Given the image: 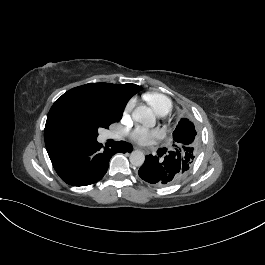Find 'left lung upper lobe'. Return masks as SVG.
Here are the masks:
<instances>
[{
    "label": "left lung upper lobe",
    "mask_w": 265,
    "mask_h": 265,
    "mask_svg": "<svg viewBox=\"0 0 265 265\" xmlns=\"http://www.w3.org/2000/svg\"><path fill=\"white\" fill-rule=\"evenodd\" d=\"M169 150L179 153L185 166L184 175L193 166L199 150V138L194 124L187 118H182L173 132V141Z\"/></svg>",
    "instance_id": "obj_1"
}]
</instances>
